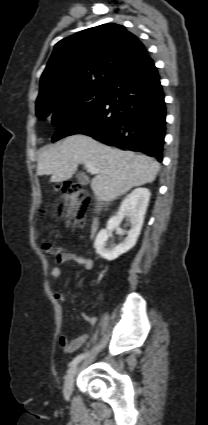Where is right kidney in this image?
Here are the masks:
<instances>
[{
  "label": "right kidney",
  "mask_w": 208,
  "mask_h": 425,
  "mask_svg": "<svg viewBox=\"0 0 208 425\" xmlns=\"http://www.w3.org/2000/svg\"><path fill=\"white\" fill-rule=\"evenodd\" d=\"M149 199L150 191L147 188H137L122 201L116 215L109 219L106 229H102L95 239L94 247L100 256L111 261L135 246L144 222ZM124 218H128L130 223L127 237L117 246L107 248L106 242L108 238L111 236L112 231L119 227Z\"/></svg>",
  "instance_id": "obj_1"
}]
</instances>
